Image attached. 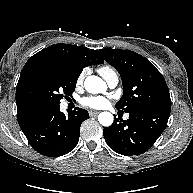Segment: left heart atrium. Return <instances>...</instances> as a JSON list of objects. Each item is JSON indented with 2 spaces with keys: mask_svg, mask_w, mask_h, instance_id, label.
Listing matches in <instances>:
<instances>
[{
  "mask_svg": "<svg viewBox=\"0 0 193 193\" xmlns=\"http://www.w3.org/2000/svg\"><path fill=\"white\" fill-rule=\"evenodd\" d=\"M108 103V100L103 96H93L85 97L81 100L83 106L92 108V109H101L104 108Z\"/></svg>",
  "mask_w": 193,
  "mask_h": 193,
  "instance_id": "1",
  "label": "left heart atrium"
}]
</instances>
